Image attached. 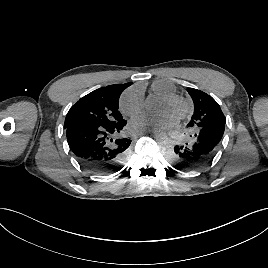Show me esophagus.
I'll return each mask as SVG.
<instances>
[{"mask_svg":"<svg viewBox=\"0 0 268 268\" xmlns=\"http://www.w3.org/2000/svg\"><path fill=\"white\" fill-rule=\"evenodd\" d=\"M139 135H144V133L143 132H140Z\"/></svg>","mask_w":268,"mask_h":268,"instance_id":"esophagus-1","label":"esophagus"}]
</instances>
